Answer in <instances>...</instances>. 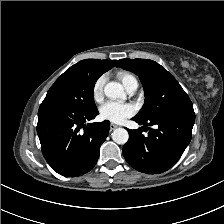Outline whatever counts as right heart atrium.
Returning a JSON list of instances; mask_svg holds the SVG:
<instances>
[{"label":"right heart atrium","mask_w":224,"mask_h":224,"mask_svg":"<svg viewBox=\"0 0 224 224\" xmlns=\"http://www.w3.org/2000/svg\"><path fill=\"white\" fill-rule=\"evenodd\" d=\"M105 76L102 75L96 79L92 87V96L96 102H100L103 98V87L105 83Z\"/></svg>","instance_id":"1"}]
</instances>
